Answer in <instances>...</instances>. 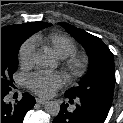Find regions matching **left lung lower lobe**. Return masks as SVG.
<instances>
[{
	"label": "left lung lower lobe",
	"instance_id": "left-lung-lower-lobe-1",
	"mask_svg": "<svg viewBox=\"0 0 123 123\" xmlns=\"http://www.w3.org/2000/svg\"><path fill=\"white\" fill-rule=\"evenodd\" d=\"M65 97L73 102L72 97ZM79 104L73 112L67 110L68 104H62L60 112L53 123H103L112 103L91 97H77Z\"/></svg>",
	"mask_w": 123,
	"mask_h": 123
}]
</instances>
